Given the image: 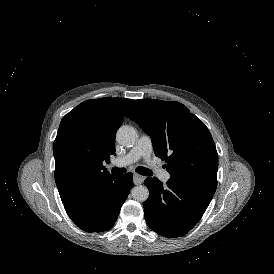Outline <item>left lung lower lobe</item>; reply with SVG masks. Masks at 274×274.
<instances>
[{
	"label": "left lung lower lobe",
	"mask_w": 274,
	"mask_h": 274,
	"mask_svg": "<svg viewBox=\"0 0 274 274\" xmlns=\"http://www.w3.org/2000/svg\"><path fill=\"white\" fill-rule=\"evenodd\" d=\"M149 198L144 202L147 225L156 233L174 238L186 234L201 219L214 189L170 178L163 185L156 177L147 178Z\"/></svg>",
	"instance_id": "obj_1"
}]
</instances>
